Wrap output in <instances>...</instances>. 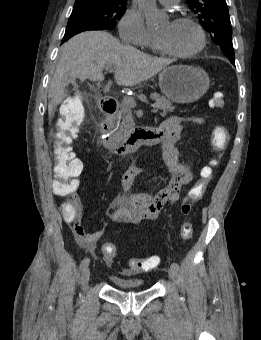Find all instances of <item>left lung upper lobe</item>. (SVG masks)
<instances>
[{"label":"left lung upper lobe","instance_id":"5c2ea615","mask_svg":"<svg viewBox=\"0 0 261 340\" xmlns=\"http://www.w3.org/2000/svg\"><path fill=\"white\" fill-rule=\"evenodd\" d=\"M189 8L229 60H234L232 27L225 0H186Z\"/></svg>","mask_w":261,"mask_h":340}]
</instances>
